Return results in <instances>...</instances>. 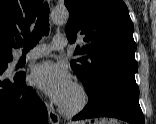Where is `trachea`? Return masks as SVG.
<instances>
[{
	"label": "trachea",
	"instance_id": "3493384b",
	"mask_svg": "<svg viewBox=\"0 0 156 124\" xmlns=\"http://www.w3.org/2000/svg\"><path fill=\"white\" fill-rule=\"evenodd\" d=\"M49 34V5L44 3L39 11L37 22L33 32L24 40H17L16 45L23 47V49L30 50L37 45L42 36Z\"/></svg>",
	"mask_w": 156,
	"mask_h": 124
}]
</instances>
